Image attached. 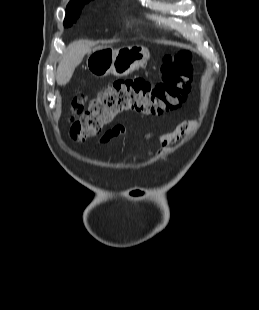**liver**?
Returning a JSON list of instances; mask_svg holds the SVG:
<instances>
[{"label":"liver","instance_id":"1","mask_svg":"<svg viewBox=\"0 0 259 310\" xmlns=\"http://www.w3.org/2000/svg\"><path fill=\"white\" fill-rule=\"evenodd\" d=\"M91 52V46L84 41H76L69 45L67 53L63 56L56 71L58 85H66L75 71V68L82 62L85 54Z\"/></svg>","mask_w":259,"mask_h":310}]
</instances>
